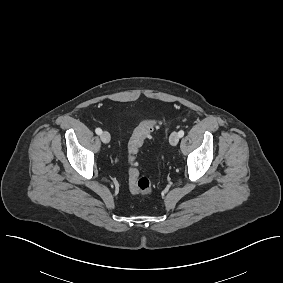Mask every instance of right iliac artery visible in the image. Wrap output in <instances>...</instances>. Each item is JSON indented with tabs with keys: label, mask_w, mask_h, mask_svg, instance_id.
Instances as JSON below:
<instances>
[{
	"label": "right iliac artery",
	"mask_w": 283,
	"mask_h": 283,
	"mask_svg": "<svg viewBox=\"0 0 283 283\" xmlns=\"http://www.w3.org/2000/svg\"><path fill=\"white\" fill-rule=\"evenodd\" d=\"M95 132H96V134L101 135L102 130H101L100 128H96V129H95Z\"/></svg>",
	"instance_id": "82829eb1"
}]
</instances>
